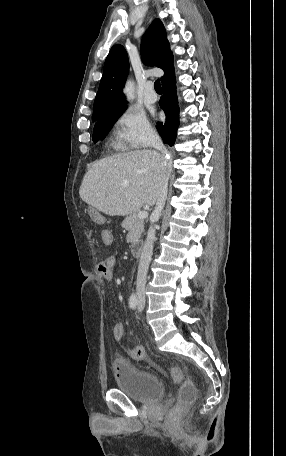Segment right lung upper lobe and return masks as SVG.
Wrapping results in <instances>:
<instances>
[{"label":"right lung upper lobe","mask_w":286,"mask_h":456,"mask_svg":"<svg viewBox=\"0 0 286 456\" xmlns=\"http://www.w3.org/2000/svg\"><path fill=\"white\" fill-rule=\"evenodd\" d=\"M141 54L147 65H155L164 71V76L161 77L162 84L175 77L173 55L160 19H155L143 35ZM128 71L126 50L120 44L114 45L104 64L103 76L93 106V121L113 109L125 107L122 87Z\"/></svg>","instance_id":"right-lung-upper-lobe-1"}]
</instances>
